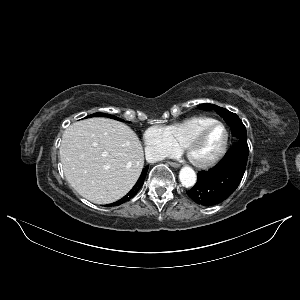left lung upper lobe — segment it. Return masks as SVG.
Segmentation results:
<instances>
[{
    "mask_svg": "<svg viewBox=\"0 0 300 300\" xmlns=\"http://www.w3.org/2000/svg\"><path fill=\"white\" fill-rule=\"evenodd\" d=\"M198 107L202 110H214L218 113L225 122L230 126L232 135L235 137L237 142H247L246 128L239 117L225 108L218 107L214 104H200Z\"/></svg>",
    "mask_w": 300,
    "mask_h": 300,
    "instance_id": "left-lung-upper-lobe-1",
    "label": "left lung upper lobe"
}]
</instances>
